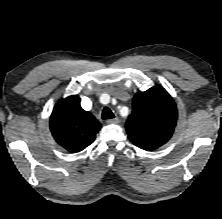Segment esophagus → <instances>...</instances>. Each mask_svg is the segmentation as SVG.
I'll list each match as a JSON object with an SVG mask.
<instances>
[{"label": "esophagus", "mask_w": 222, "mask_h": 219, "mask_svg": "<svg viewBox=\"0 0 222 219\" xmlns=\"http://www.w3.org/2000/svg\"><path fill=\"white\" fill-rule=\"evenodd\" d=\"M119 122V119L116 117L114 119L107 120V124H117Z\"/></svg>", "instance_id": "esophagus-1"}]
</instances>
